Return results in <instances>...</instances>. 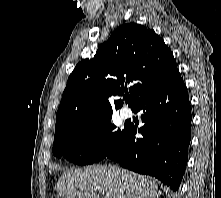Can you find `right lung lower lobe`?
I'll return each instance as SVG.
<instances>
[{
  "label": "right lung lower lobe",
  "mask_w": 221,
  "mask_h": 198,
  "mask_svg": "<svg viewBox=\"0 0 221 198\" xmlns=\"http://www.w3.org/2000/svg\"><path fill=\"white\" fill-rule=\"evenodd\" d=\"M132 110L144 112L141 120L145 125L138 129L143 138L136 139L137 128L128 125L120 143L104 158L154 176L176 191L185 172L191 139L189 96L179 71Z\"/></svg>",
  "instance_id": "obj_1"
}]
</instances>
